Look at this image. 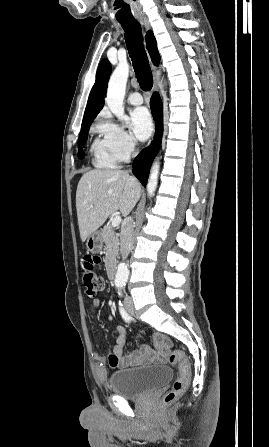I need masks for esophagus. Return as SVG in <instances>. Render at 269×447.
<instances>
[{
  "instance_id": "1",
  "label": "esophagus",
  "mask_w": 269,
  "mask_h": 447,
  "mask_svg": "<svg viewBox=\"0 0 269 447\" xmlns=\"http://www.w3.org/2000/svg\"><path fill=\"white\" fill-rule=\"evenodd\" d=\"M140 23L145 27L146 30H150V24L145 17V15H141L139 17ZM153 77H154V85H153V92H156L158 90V77H157V67L154 65H151Z\"/></svg>"
}]
</instances>
